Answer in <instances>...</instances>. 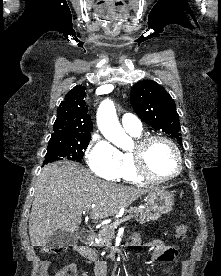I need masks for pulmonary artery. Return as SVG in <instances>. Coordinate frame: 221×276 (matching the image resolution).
Listing matches in <instances>:
<instances>
[{"label":"pulmonary artery","instance_id":"obj_1","mask_svg":"<svg viewBox=\"0 0 221 276\" xmlns=\"http://www.w3.org/2000/svg\"><path fill=\"white\" fill-rule=\"evenodd\" d=\"M122 125L124 129L129 133H141L142 123L133 114L126 113L122 116Z\"/></svg>","mask_w":221,"mask_h":276}]
</instances>
